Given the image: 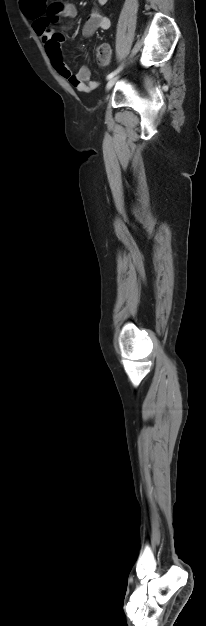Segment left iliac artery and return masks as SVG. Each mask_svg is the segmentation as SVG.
<instances>
[{"label":"left iliac artery","instance_id":"1","mask_svg":"<svg viewBox=\"0 0 206 626\" xmlns=\"http://www.w3.org/2000/svg\"><path fill=\"white\" fill-rule=\"evenodd\" d=\"M122 69V66H120L119 68H117L115 71L111 72L110 74L107 75V79H111L112 77H114L117 73H119V71Z\"/></svg>","mask_w":206,"mask_h":626}]
</instances>
